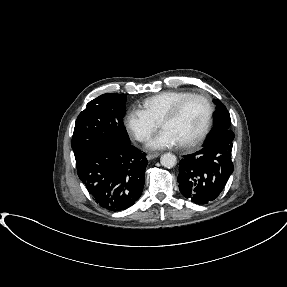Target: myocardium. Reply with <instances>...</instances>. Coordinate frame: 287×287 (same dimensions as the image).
<instances>
[{
    "label": "myocardium",
    "mask_w": 287,
    "mask_h": 287,
    "mask_svg": "<svg viewBox=\"0 0 287 287\" xmlns=\"http://www.w3.org/2000/svg\"><path fill=\"white\" fill-rule=\"evenodd\" d=\"M191 99H200L201 101L204 102L206 106V117H205V122L204 125L201 129V131L191 140H188L186 142L181 143V145L185 148H195L199 146L207 137L209 134L212 124H213V113H214V106L211 102V100L205 96L204 94L200 93H190L187 96L181 98L178 100L162 117L160 120V124L169 119L175 118L183 106Z\"/></svg>",
    "instance_id": "myocardium-1"
}]
</instances>
